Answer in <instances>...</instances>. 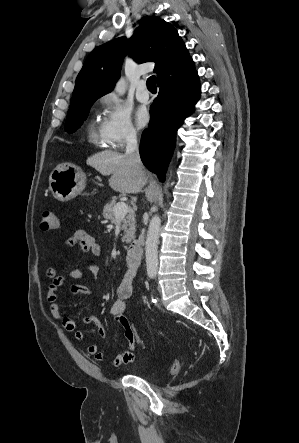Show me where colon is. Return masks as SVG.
I'll list each match as a JSON object with an SVG mask.
<instances>
[{"mask_svg":"<svg viewBox=\"0 0 299 443\" xmlns=\"http://www.w3.org/2000/svg\"><path fill=\"white\" fill-rule=\"evenodd\" d=\"M57 227H58V218L56 214L51 210L44 211L41 223L42 230L46 231L54 230ZM124 325L126 327L127 336L129 337V339L136 346L144 349L146 347L145 343L142 340V338L139 336L137 330L135 329L129 317H126L124 319ZM179 368H180V362L178 360H175L171 366V372L177 373L179 371Z\"/></svg>","mask_w":299,"mask_h":443,"instance_id":"colon-1","label":"colon"}]
</instances>
